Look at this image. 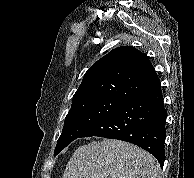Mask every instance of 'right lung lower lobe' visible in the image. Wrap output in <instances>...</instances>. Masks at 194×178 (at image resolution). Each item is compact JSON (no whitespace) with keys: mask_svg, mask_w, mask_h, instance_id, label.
I'll return each mask as SVG.
<instances>
[{"mask_svg":"<svg viewBox=\"0 0 194 178\" xmlns=\"http://www.w3.org/2000/svg\"><path fill=\"white\" fill-rule=\"evenodd\" d=\"M166 109L161 88L124 102L80 137L99 136L133 143L165 161Z\"/></svg>","mask_w":194,"mask_h":178,"instance_id":"right-lung-lower-lobe-1","label":"right lung lower lobe"}]
</instances>
